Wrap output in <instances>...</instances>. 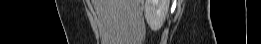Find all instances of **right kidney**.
Segmentation results:
<instances>
[{
    "label": "right kidney",
    "mask_w": 261,
    "mask_h": 44,
    "mask_svg": "<svg viewBox=\"0 0 261 44\" xmlns=\"http://www.w3.org/2000/svg\"><path fill=\"white\" fill-rule=\"evenodd\" d=\"M169 0H146L144 13L149 27L157 31L163 25L169 9Z\"/></svg>",
    "instance_id": "ca27d5eb"
}]
</instances>
